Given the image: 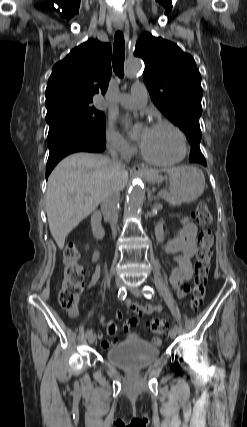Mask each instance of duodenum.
<instances>
[{
  "label": "duodenum",
  "instance_id": "duodenum-1",
  "mask_svg": "<svg viewBox=\"0 0 247 427\" xmlns=\"http://www.w3.org/2000/svg\"><path fill=\"white\" fill-rule=\"evenodd\" d=\"M91 227L93 231V235L97 239H102L104 237L105 231L101 222V214L96 211L91 216Z\"/></svg>",
  "mask_w": 247,
  "mask_h": 427
}]
</instances>
